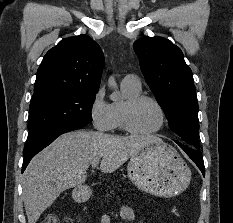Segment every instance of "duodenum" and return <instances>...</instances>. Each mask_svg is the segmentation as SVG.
I'll return each instance as SVG.
<instances>
[{
    "label": "duodenum",
    "instance_id": "obj_1",
    "mask_svg": "<svg viewBox=\"0 0 233 223\" xmlns=\"http://www.w3.org/2000/svg\"><path fill=\"white\" fill-rule=\"evenodd\" d=\"M90 197V192L85 189H80L75 192L74 198L78 203H85Z\"/></svg>",
    "mask_w": 233,
    "mask_h": 223
}]
</instances>
